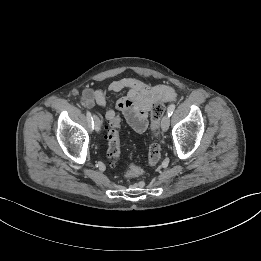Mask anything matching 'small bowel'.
<instances>
[{
  "label": "small bowel",
  "instance_id": "obj_1",
  "mask_svg": "<svg viewBox=\"0 0 261 261\" xmlns=\"http://www.w3.org/2000/svg\"><path fill=\"white\" fill-rule=\"evenodd\" d=\"M121 91H126V94L117 100L114 108L106 110L105 118L109 121L118 117L117 112H120L138 133L147 129L148 113L156 102H170L177 98L175 89L169 85H151L138 79L123 78L110 82L105 89H85L81 96L82 104L88 108L105 107L107 92Z\"/></svg>",
  "mask_w": 261,
  "mask_h": 261
}]
</instances>
